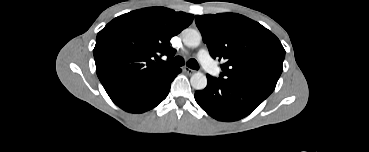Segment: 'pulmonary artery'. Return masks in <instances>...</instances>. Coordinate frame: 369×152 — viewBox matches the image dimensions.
Masks as SVG:
<instances>
[{
    "label": "pulmonary artery",
    "mask_w": 369,
    "mask_h": 152,
    "mask_svg": "<svg viewBox=\"0 0 369 152\" xmlns=\"http://www.w3.org/2000/svg\"><path fill=\"white\" fill-rule=\"evenodd\" d=\"M198 58L202 64V66L205 68V70L212 74L217 75L219 70L217 65L214 63V61L211 59L208 51L206 49H202L198 53Z\"/></svg>",
    "instance_id": "pulmonary-artery-1"
}]
</instances>
